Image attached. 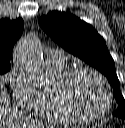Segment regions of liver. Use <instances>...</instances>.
Wrapping results in <instances>:
<instances>
[{
	"mask_svg": "<svg viewBox=\"0 0 125 128\" xmlns=\"http://www.w3.org/2000/svg\"><path fill=\"white\" fill-rule=\"evenodd\" d=\"M9 105L10 98L3 83L0 81V128H10L13 125Z\"/></svg>",
	"mask_w": 125,
	"mask_h": 128,
	"instance_id": "obj_1",
	"label": "liver"
}]
</instances>
